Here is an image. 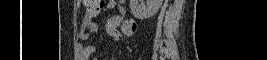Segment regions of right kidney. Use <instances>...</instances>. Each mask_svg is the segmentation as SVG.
I'll use <instances>...</instances> for the list:
<instances>
[{"mask_svg": "<svg viewBox=\"0 0 267 60\" xmlns=\"http://www.w3.org/2000/svg\"><path fill=\"white\" fill-rule=\"evenodd\" d=\"M163 0H130V9L133 16L143 20L154 16L162 5Z\"/></svg>", "mask_w": 267, "mask_h": 60, "instance_id": "ca27d5eb", "label": "right kidney"}]
</instances>
